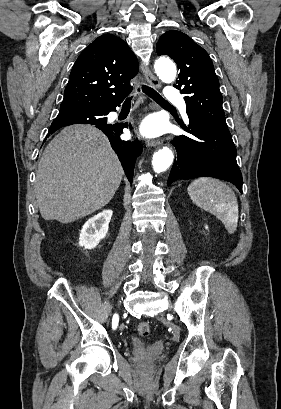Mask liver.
Instances as JSON below:
<instances>
[{
    "instance_id": "6515ba94",
    "label": "liver",
    "mask_w": 281,
    "mask_h": 409,
    "mask_svg": "<svg viewBox=\"0 0 281 409\" xmlns=\"http://www.w3.org/2000/svg\"><path fill=\"white\" fill-rule=\"evenodd\" d=\"M124 174L102 130L90 124L63 128L38 164L35 192L45 221L73 223L108 205Z\"/></svg>"
}]
</instances>
